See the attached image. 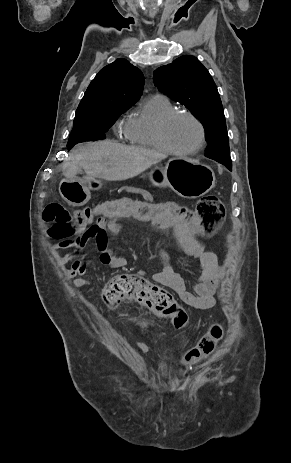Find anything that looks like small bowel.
I'll use <instances>...</instances> for the list:
<instances>
[{"label":"small bowel","instance_id":"obj_1","mask_svg":"<svg viewBox=\"0 0 291 463\" xmlns=\"http://www.w3.org/2000/svg\"><path fill=\"white\" fill-rule=\"evenodd\" d=\"M122 218L124 217H109L108 214L99 217L94 226L83 231L78 236L75 241V250L59 257L60 263L70 264V268L64 272V275L72 280L73 289L88 287L92 284V280L87 277V262L81 255L87 241L90 239L96 242L102 264L111 269L127 266L126 259L114 254L107 244V233H118L121 230L119 220ZM140 220L145 221V219ZM155 227L170 232L177 240L182 252L198 260L200 275L189 289L184 277L174 272L169 254L160 247L156 248V253L163 266L162 270L151 274L146 271H139L138 274L147 276L152 281L170 288L189 307L199 310L213 308L216 305L215 293L219 281L225 274V270L218 263L215 254L204 249L197 239V233L187 230L181 231L177 226ZM54 249L63 250L68 248L62 247L58 242Z\"/></svg>","mask_w":291,"mask_h":463}]
</instances>
